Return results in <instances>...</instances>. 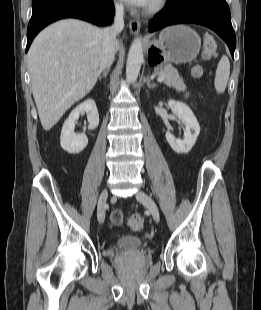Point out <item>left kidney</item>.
<instances>
[{
	"mask_svg": "<svg viewBox=\"0 0 261 310\" xmlns=\"http://www.w3.org/2000/svg\"><path fill=\"white\" fill-rule=\"evenodd\" d=\"M168 106L185 125V129L183 140L175 138L169 131L166 132V140L176 153L186 154L192 149L200 133L199 123L192 110L185 103L169 100Z\"/></svg>",
	"mask_w": 261,
	"mask_h": 310,
	"instance_id": "1",
	"label": "left kidney"
}]
</instances>
